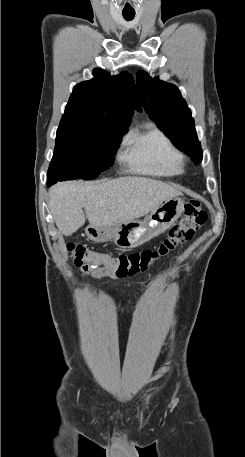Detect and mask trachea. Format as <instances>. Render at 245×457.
I'll return each instance as SVG.
<instances>
[{"mask_svg":"<svg viewBox=\"0 0 245 457\" xmlns=\"http://www.w3.org/2000/svg\"><path fill=\"white\" fill-rule=\"evenodd\" d=\"M135 16V13H123V17L125 20H127L128 22L133 20Z\"/></svg>","mask_w":245,"mask_h":457,"instance_id":"3493384b","label":"trachea"}]
</instances>
